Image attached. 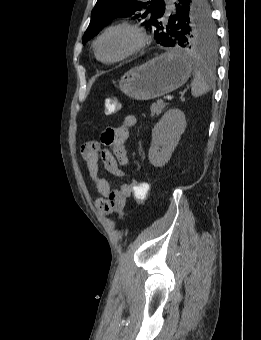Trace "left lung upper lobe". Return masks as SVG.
Listing matches in <instances>:
<instances>
[{"label":"left lung upper lobe","instance_id":"obj_1","mask_svg":"<svg viewBox=\"0 0 261 340\" xmlns=\"http://www.w3.org/2000/svg\"><path fill=\"white\" fill-rule=\"evenodd\" d=\"M164 12V0H98L82 42L85 44L93 38L112 19L132 17L143 19L142 25L156 28L154 36L162 46L171 38L175 39V46L206 53L216 51V31L207 0H193L190 12L182 16L177 25L167 22Z\"/></svg>","mask_w":261,"mask_h":340}]
</instances>
